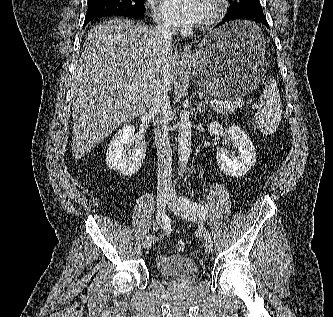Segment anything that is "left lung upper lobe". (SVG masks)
Returning <instances> with one entry per match:
<instances>
[{"label":"left lung upper lobe","instance_id":"obj_1","mask_svg":"<svg viewBox=\"0 0 333 317\" xmlns=\"http://www.w3.org/2000/svg\"><path fill=\"white\" fill-rule=\"evenodd\" d=\"M230 7L228 14H233L249 9H262L259 0H228Z\"/></svg>","mask_w":333,"mask_h":317}]
</instances>
